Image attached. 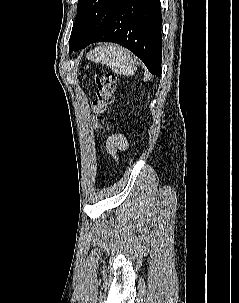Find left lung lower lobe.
Returning a JSON list of instances; mask_svg holds the SVG:
<instances>
[{"mask_svg": "<svg viewBox=\"0 0 239 303\" xmlns=\"http://www.w3.org/2000/svg\"><path fill=\"white\" fill-rule=\"evenodd\" d=\"M161 25L160 0H117L80 49L95 42L118 43L137 55L151 73L161 75Z\"/></svg>", "mask_w": 239, "mask_h": 303, "instance_id": "left-lung-lower-lobe-1", "label": "left lung lower lobe"}]
</instances>
